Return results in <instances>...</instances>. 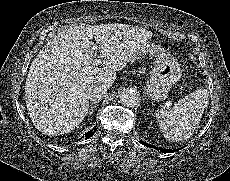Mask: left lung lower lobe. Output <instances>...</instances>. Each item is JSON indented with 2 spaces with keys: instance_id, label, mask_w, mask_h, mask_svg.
<instances>
[{
  "instance_id": "0a47b994",
  "label": "left lung lower lobe",
  "mask_w": 230,
  "mask_h": 181,
  "mask_svg": "<svg viewBox=\"0 0 230 181\" xmlns=\"http://www.w3.org/2000/svg\"><path fill=\"white\" fill-rule=\"evenodd\" d=\"M141 143H142V141H140ZM145 146H149V147H151V148H154V149H157V147H154L153 145H149V144H147V143H143ZM159 150L161 151V152H164V153H172V152H174V150H167V149H162V148H159ZM177 151V150H176Z\"/></svg>"
}]
</instances>
